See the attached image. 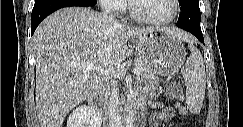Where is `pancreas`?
Listing matches in <instances>:
<instances>
[{
  "label": "pancreas",
  "mask_w": 243,
  "mask_h": 127,
  "mask_svg": "<svg viewBox=\"0 0 243 127\" xmlns=\"http://www.w3.org/2000/svg\"><path fill=\"white\" fill-rule=\"evenodd\" d=\"M135 66L141 70V79L157 81V76L153 73L151 68L142 60L135 61Z\"/></svg>",
  "instance_id": "pancreas-1"
}]
</instances>
